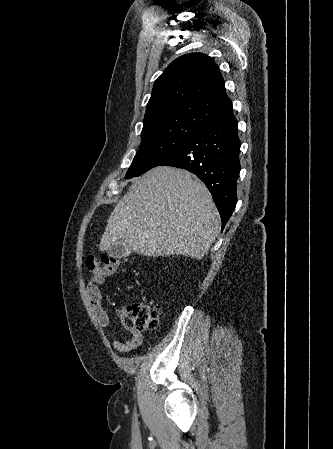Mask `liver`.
<instances>
[{"instance_id":"6515ba94","label":"liver","mask_w":333,"mask_h":449,"mask_svg":"<svg viewBox=\"0 0 333 449\" xmlns=\"http://www.w3.org/2000/svg\"><path fill=\"white\" fill-rule=\"evenodd\" d=\"M221 220L212 196L190 172L159 166L132 180L111 212L99 249L117 242L145 256L208 254Z\"/></svg>"}]
</instances>
